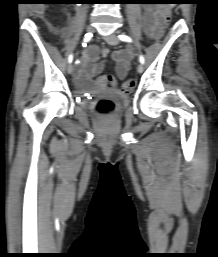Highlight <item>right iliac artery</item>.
I'll return each instance as SVG.
<instances>
[{"instance_id":"1","label":"right iliac artery","mask_w":218,"mask_h":257,"mask_svg":"<svg viewBox=\"0 0 218 257\" xmlns=\"http://www.w3.org/2000/svg\"><path fill=\"white\" fill-rule=\"evenodd\" d=\"M92 38V33H87L83 40V45H85L87 42H89ZM73 61V55L70 54L68 57V62L71 63Z\"/></svg>"}]
</instances>
